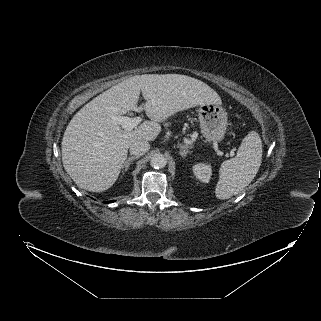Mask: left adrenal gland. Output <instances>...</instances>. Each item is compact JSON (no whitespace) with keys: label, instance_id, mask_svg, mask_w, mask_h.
Segmentation results:
<instances>
[{"label":"left adrenal gland","instance_id":"left-adrenal-gland-1","mask_svg":"<svg viewBox=\"0 0 321 321\" xmlns=\"http://www.w3.org/2000/svg\"><path fill=\"white\" fill-rule=\"evenodd\" d=\"M177 147L179 148V154L182 157H185L187 155V153H189L188 149L192 148V146L183 145V144H178Z\"/></svg>","mask_w":321,"mask_h":321}]
</instances>
